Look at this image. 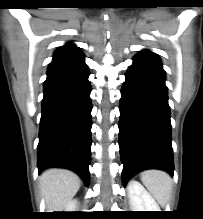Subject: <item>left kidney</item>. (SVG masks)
Segmentation results:
<instances>
[{
  "instance_id": "left-kidney-1",
  "label": "left kidney",
  "mask_w": 203,
  "mask_h": 219,
  "mask_svg": "<svg viewBox=\"0 0 203 219\" xmlns=\"http://www.w3.org/2000/svg\"><path fill=\"white\" fill-rule=\"evenodd\" d=\"M127 189L132 211H160L155 200L139 182L131 180Z\"/></svg>"
}]
</instances>
